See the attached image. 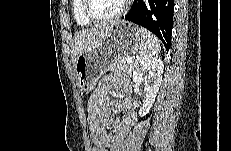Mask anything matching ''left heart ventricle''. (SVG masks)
I'll return each mask as SVG.
<instances>
[{"instance_id": "b2bd125f", "label": "left heart ventricle", "mask_w": 231, "mask_h": 151, "mask_svg": "<svg viewBox=\"0 0 231 151\" xmlns=\"http://www.w3.org/2000/svg\"><path fill=\"white\" fill-rule=\"evenodd\" d=\"M124 0H90L92 15L102 18L117 13L123 6Z\"/></svg>"}]
</instances>
